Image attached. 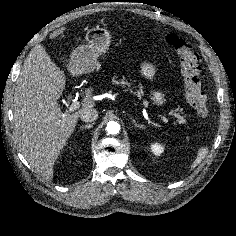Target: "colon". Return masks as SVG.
Segmentation results:
<instances>
[{"mask_svg": "<svg viewBox=\"0 0 236 236\" xmlns=\"http://www.w3.org/2000/svg\"><path fill=\"white\" fill-rule=\"evenodd\" d=\"M167 43L178 55L181 73L184 79L186 98L190 106L200 117L209 114L207 99L202 91L198 56L192 43L176 34L167 37Z\"/></svg>", "mask_w": 236, "mask_h": 236, "instance_id": "1", "label": "colon"}]
</instances>
